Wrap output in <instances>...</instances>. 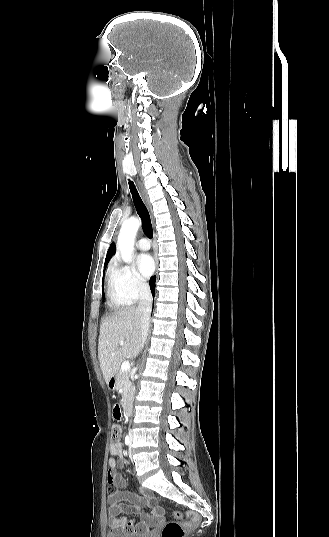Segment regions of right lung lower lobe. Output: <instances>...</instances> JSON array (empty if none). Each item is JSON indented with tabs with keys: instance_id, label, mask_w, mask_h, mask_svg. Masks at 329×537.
<instances>
[{
	"instance_id": "obj_1",
	"label": "right lung lower lobe",
	"mask_w": 329,
	"mask_h": 537,
	"mask_svg": "<svg viewBox=\"0 0 329 537\" xmlns=\"http://www.w3.org/2000/svg\"><path fill=\"white\" fill-rule=\"evenodd\" d=\"M150 289H151L152 295L154 297V293H155V277H152V279L150 281Z\"/></svg>"
}]
</instances>
